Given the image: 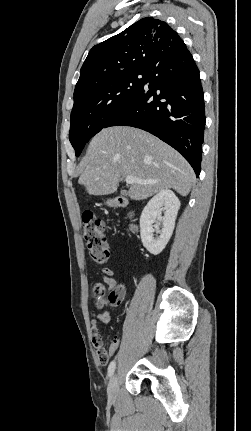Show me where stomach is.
Returning <instances> with one entry per match:
<instances>
[{"label":"stomach","mask_w":251,"mask_h":431,"mask_svg":"<svg viewBox=\"0 0 251 431\" xmlns=\"http://www.w3.org/2000/svg\"><path fill=\"white\" fill-rule=\"evenodd\" d=\"M108 204H109V205H111L112 203H111V202H108Z\"/></svg>","instance_id":"0dacf381"}]
</instances>
